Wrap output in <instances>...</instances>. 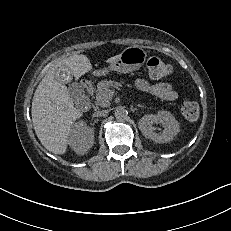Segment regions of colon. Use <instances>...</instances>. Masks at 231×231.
I'll list each match as a JSON object with an SVG mask.
<instances>
[{
  "label": "colon",
  "mask_w": 231,
  "mask_h": 231,
  "mask_svg": "<svg viewBox=\"0 0 231 231\" xmlns=\"http://www.w3.org/2000/svg\"><path fill=\"white\" fill-rule=\"evenodd\" d=\"M147 69L149 76L156 80L164 79L172 73V66L158 57H151L148 60ZM181 110L189 120H195L199 115V106L194 101H185L181 106Z\"/></svg>",
  "instance_id": "1"
}]
</instances>
